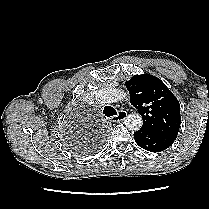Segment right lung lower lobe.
Listing matches in <instances>:
<instances>
[{
    "instance_id": "98d812e1",
    "label": "right lung lower lobe",
    "mask_w": 209,
    "mask_h": 209,
    "mask_svg": "<svg viewBox=\"0 0 209 209\" xmlns=\"http://www.w3.org/2000/svg\"><path fill=\"white\" fill-rule=\"evenodd\" d=\"M100 144L99 140H84L72 143L74 151L79 154H89L94 152Z\"/></svg>"
}]
</instances>
